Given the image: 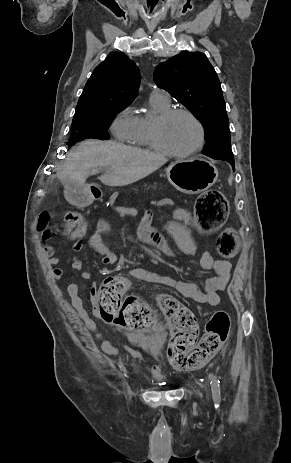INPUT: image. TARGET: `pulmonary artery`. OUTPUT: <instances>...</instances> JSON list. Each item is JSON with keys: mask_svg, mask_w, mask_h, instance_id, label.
<instances>
[{"mask_svg": "<svg viewBox=\"0 0 291 463\" xmlns=\"http://www.w3.org/2000/svg\"><path fill=\"white\" fill-rule=\"evenodd\" d=\"M151 96L152 97H155V98H158L160 99L161 101L163 102H166V103H169L170 102V95L169 93L164 90V89H161V88H155L153 89L152 93H151Z\"/></svg>", "mask_w": 291, "mask_h": 463, "instance_id": "obj_1", "label": "pulmonary artery"}]
</instances>
